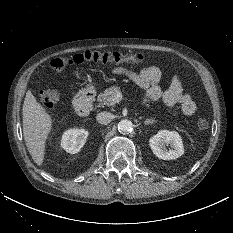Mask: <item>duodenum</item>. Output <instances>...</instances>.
<instances>
[{"label": "duodenum", "instance_id": "1", "mask_svg": "<svg viewBox=\"0 0 233 233\" xmlns=\"http://www.w3.org/2000/svg\"><path fill=\"white\" fill-rule=\"evenodd\" d=\"M95 93L86 89L79 92L74 98V110L79 116H87L93 107Z\"/></svg>", "mask_w": 233, "mask_h": 233}]
</instances>
